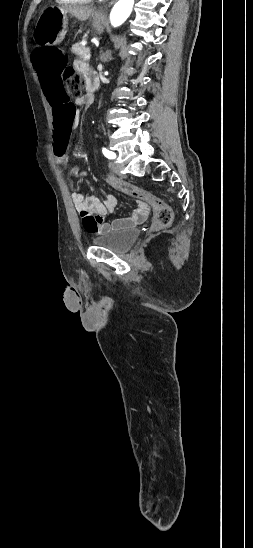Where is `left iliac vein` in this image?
<instances>
[{"instance_id":"1","label":"left iliac vein","mask_w":253,"mask_h":548,"mask_svg":"<svg viewBox=\"0 0 253 548\" xmlns=\"http://www.w3.org/2000/svg\"><path fill=\"white\" fill-rule=\"evenodd\" d=\"M109 167H110V169H111L116 175L122 176L121 171H120V168H119V166H118V164H117L116 162L111 161V162L109 163Z\"/></svg>"}]
</instances>
